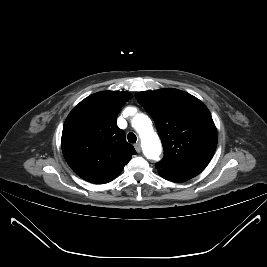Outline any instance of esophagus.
<instances>
[{
    "mask_svg": "<svg viewBox=\"0 0 267 267\" xmlns=\"http://www.w3.org/2000/svg\"><path fill=\"white\" fill-rule=\"evenodd\" d=\"M134 147H135V150H136L138 153L141 152V146H140V143H136Z\"/></svg>",
    "mask_w": 267,
    "mask_h": 267,
    "instance_id": "obj_1",
    "label": "esophagus"
}]
</instances>
